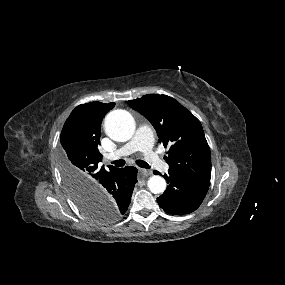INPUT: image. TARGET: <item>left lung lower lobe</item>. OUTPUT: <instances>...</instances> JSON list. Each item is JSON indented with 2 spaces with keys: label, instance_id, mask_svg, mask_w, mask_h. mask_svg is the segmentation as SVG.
I'll list each match as a JSON object with an SVG mask.
<instances>
[{
  "label": "left lung lower lobe",
  "instance_id": "1",
  "mask_svg": "<svg viewBox=\"0 0 285 285\" xmlns=\"http://www.w3.org/2000/svg\"><path fill=\"white\" fill-rule=\"evenodd\" d=\"M154 173L160 174L157 171ZM164 178L169 185L157 198V202L164 211L175 215L195 211L202 203L210 185V182L186 178L172 171Z\"/></svg>",
  "mask_w": 285,
  "mask_h": 285
}]
</instances>
